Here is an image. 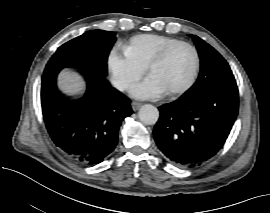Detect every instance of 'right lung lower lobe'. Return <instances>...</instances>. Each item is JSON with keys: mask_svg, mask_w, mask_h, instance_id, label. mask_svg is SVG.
Instances as JSON below:
<instances>
[{"mask_svg": "<svg viewBox=\"0 0 270 213\" xmlns=\"http://www.w3.org/2000/svg\"><path fill=\"white\" fill-rule=\"evenodd\" d=\"M59 69L45 70L41 104L48 133L69 158L85 165L102 162L116 147L118 131L132 114L130 99L112 88L105 76L83 71L87 91L69 100L57 89Z\"/></svg>", "mask_w": 270, "mask_h": 213, "instance_id": "obj_1", "label": "right lung lower lobe"}]
</instances>
